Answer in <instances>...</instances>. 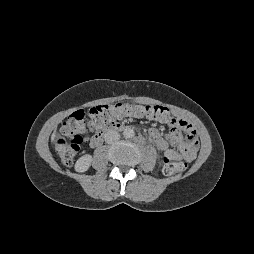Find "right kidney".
I'll return each instance as SVG.
<instances>
[{"mask_svg": "<svg viewBox=\"0 0 254 254\" xmlns=\"http://www.w3.org/2000/svg\"><path fill=\"white\" fill-rule=\"evenodd\" d=\"M92 162V156L89 154H86L82 157H80L75 164V170L77 172H85L89 169Z\"/></svg>", "mask_w": 254, "mask_h": 254, "instance_id": "1", "label": "right kidney"}]
</instances>
